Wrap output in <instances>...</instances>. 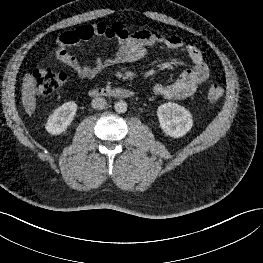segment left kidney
Returning <instances> with one entry per match:
<instances>
[{"label":"left kidney","instance_id":"obj_1","mask_svg":"<svg viewBox=\"0 0 263 263\" xmlns=\"http://www.w3.org/2000/svg\"><path fill=\"white\" fill-rule=\"evenodd\" d=\"M157 116L163 132L173 138L184 136L193 126L191 113L176 103L160 105Z\"/></svg>","mask_w":263,"mask_h":263}]
</instances>
